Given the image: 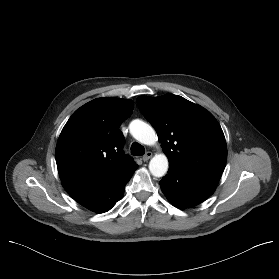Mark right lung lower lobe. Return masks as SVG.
Returning <instances> with one entry per match:
<instances>
[{"label":"right lung lower lobe","instance_id":"98d812e1","mask_svg":"<svg viewBox=\"0 0 279 279\" xmlns=\"http://www.w3.org/2000/svg\"><path fill=\"white\" fill-rule=\"evenodd\" d=\"M133 173L134 172L128 174L111 187L99 193L81 198L76 201L96 213L107 212L115 205L117 201L122 199L124 195V187L130 180Z\"/></svg>","mask_w":279,"mask_h":279}]
</instances>
